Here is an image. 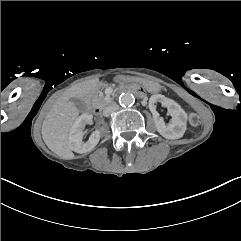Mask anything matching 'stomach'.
Masks as SVG:
<instances>
[{
	"instance_id": "stomach-1",
	"label": "stomach",
	"mask_w": 241,
	"mask_h": 241,
	"mask_svg": "<svg viewBox=\"0 0 241 241\" xmlns=\"http://www.w3.org/2000/svg\"><path fill=\"white\" fill-rule=\"evenodd\" d=\"M118 80L135 82L141 84L148 92H159L161 90V85L158 82L151 81L148 79L138 78V77H118Z\"/></svg>"
}]
</instances>
